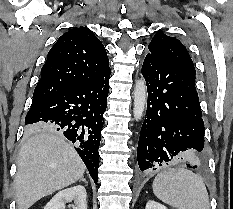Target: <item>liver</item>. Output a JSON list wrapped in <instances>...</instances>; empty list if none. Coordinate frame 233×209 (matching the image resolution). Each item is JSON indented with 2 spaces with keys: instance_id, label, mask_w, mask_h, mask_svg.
Returning <instances> with one entry per match:
<instances>
[{
  "instance_id": "liver-1",
  "label": "liver",
  "mask_w": 233,
  "mask_h": 209,
  "mask_svg": "<svg viewBox=\"0 0 233 209\" xmlns=\"http://www.w3.org/2000/svg\"><path fill=\"white\" fill-rule=\"evenodd\" d=\"M29 131L35 134L22 145L17 161L18 209H29L41 198L75 183L86 168L62 134L40 127Z\"/></svg>"
}]
</instances>
